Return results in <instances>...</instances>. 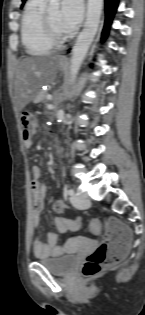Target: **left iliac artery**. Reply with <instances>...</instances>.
Listing matches in <instances>:
<instances>
[{"label": "left iliac artery", "instance_id": "obj_1", "mask_svg": "<svg viewBox=\"0 0 145 315\" xmlns=\"http://www.w3.org/2000/svg\"><path fill=\"white\" fill-rule=\"evenodd\" d=\"M67 194L70 195V196L74 195V190L71 189V188L68 189V190H67Z\"/></svg>", "mask_w": 145, "mask_h": 315}]
</instances>
